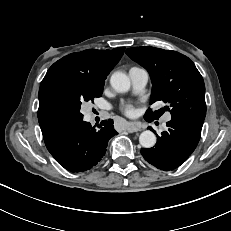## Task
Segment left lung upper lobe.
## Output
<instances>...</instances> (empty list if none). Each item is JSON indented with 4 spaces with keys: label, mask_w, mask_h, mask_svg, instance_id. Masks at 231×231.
Masks as SVG:
<instances>
[{
    "label": "left lung upper lobe",
    "mask_w": 231,
    "mask_h": 231,
    "mask_svg": "<svg viewBox=\"0 0 231 231\" xmlns=\"http://www.w3.org/2000/svg\"><path fill=\"white\" fill-rule=\"evenodd\" d=\"M126 54L150 74L153 84L150 104L156 101L167 104L155 112L147 110L145 116L153 120L170 111L171 120L201 130L206 115L205 86L194 63L176 51L150 46L128 48Z\"/></svg>",
    "instance_id": "1"
}]
</instances>
